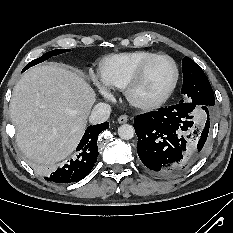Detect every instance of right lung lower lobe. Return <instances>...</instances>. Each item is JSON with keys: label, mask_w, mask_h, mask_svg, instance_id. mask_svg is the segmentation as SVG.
Returning a JSON list of instances; mask_svg holds the SVG:
<instances>
[{"label": "right lung lower lobe", "mask_w": 233, "mask_h": 233, "mask_svg": "<svg viewBox=\"0 0 233 233\" xmlns=\"http://www.w3.org/2000/svg\"><path fill=\"white\" fill-rule=\"evenodd\" d=\"M108 128V122L88 127L76 148L74 157L45 179L57 183H71L86 177L97 161L98 136L103 130Z\"/></svg>", "instance_id": "98d812e1"}]
</instances>
